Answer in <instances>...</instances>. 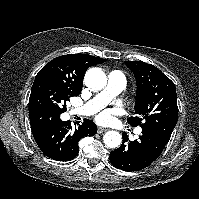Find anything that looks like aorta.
I'll return each instance as SVG.
<instances>
[{"label": "aorta", "instance_id": "762f6f07", "mask_svg": "<svg viewBox=\"0 0 199 199\" xmlns=\"http://www.w3.org/2000/svg\"><path fill=\"white\" fill-rule=\"evenodd\" d=\"M84 81L87 87L98 91L106 86L107 77L100 68L95 67L86 72ZM103 140L107 147L117 148L121 144L122 136L119 132L112 130L104 134Z\"/></svg>", "mask_w": 199, "mask_h": 199}]
</instances>
